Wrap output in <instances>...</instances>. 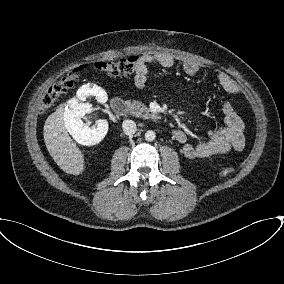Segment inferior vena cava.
<instances>
[{
	"label": "inferior vena cava",
	"instance_id": "obj_1",
	"mask_svg": "<svg viewBox=\"0 0 284 284\" xmlns=\"http://www.w3.org/2000/svg\"><path fill=\"white\" fill-rule=\"evenodd\" d=\"M122 127L126 135H133L137 131L136 123L129 119L123 121Z\"/></svg>",
	"mask_w": 284,
	"mask_h": 284
}]
</instances>
